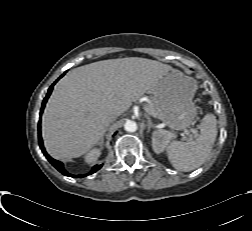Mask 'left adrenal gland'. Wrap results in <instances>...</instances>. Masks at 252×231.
Segmentation results:
<instances>
[{"instance_id": "left-adrenal-gland-1", "label": "left adrenal gland", "mask_w": 252, "mask_h": 231, "mask_svg": "<svg viewBox=\"0 0 252 231\" xmlns=\"http://www.w3.org/2000/svg\"><path fill=\"white\" fill-rule=\"evenodd\" d=\"M146 118H147V126H148L147 132L149 133L150 130H151V128H152V126H153V124L151 122L150 117L147 114H146Z\"/></svg>"}]
</instances>
